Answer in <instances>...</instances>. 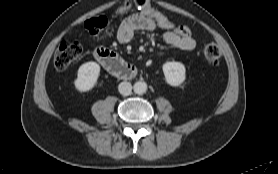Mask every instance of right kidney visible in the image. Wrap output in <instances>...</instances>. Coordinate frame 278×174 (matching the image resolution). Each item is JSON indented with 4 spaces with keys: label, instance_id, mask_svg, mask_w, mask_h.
<instances>
[{
    "label": "right kidney",
    "instance_id": "1",
    "mask_svg": "<svg viewBox=\"0 0 278 174\" xmlns=\"http://www.w3.org/2000/svg\"><path fill=\"white\" fill-rule=\"evenodd\" d=\"M99 73L100 66L96 62L90 61L82 64L74 81L75 88L80 92L91 90L97 82Z\"/></svg>",
    "mask_w": 278,
    "mask_h": 174
}]
</instances>
